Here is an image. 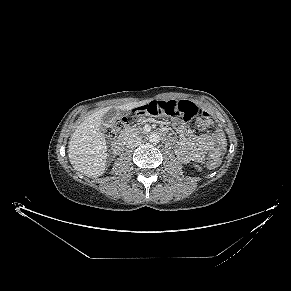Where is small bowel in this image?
Listing matches in <instances>:
<instances>
[{"mask_svg":"<svg viewBox=\"0 0 291 291\" xmlns=\"http://www.w3.org/2000/svg\"><path fill=\"white\" fill-rule=\"evenodd\" d=\"M198 126L202 128L206 125L203 121L198 120ZM173 127L178 134V138L174 140L176 142V153L183 162L195 161L201 163L206 159L219 160L221 158L225 149V138L220 129L186 139L187 129L184 120H174Z\"/></svg>","mask_w":291,"mask_h":291,"instance_id":"obj_1","label":"small bowel"}]
</instances>
